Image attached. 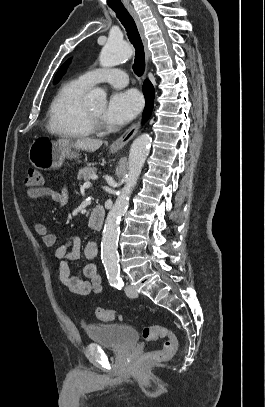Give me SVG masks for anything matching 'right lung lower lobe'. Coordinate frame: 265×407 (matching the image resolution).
I'll use <instances>...</instances> for the list:
<instances>
[{
	"mask_svg": "<svg viewBox=\"0 0 265 407\" xmlns=\"http://www.w3.org/2000/svg\"><path fill=\"white\" fill-rule=\"evenodd\" d=\"M143 93L146 99V106L143 112V122H145L151 115L154 102V88L149 80H145L144 82Z\"/></svg>",
	"mask_w": 265,
	"mask_h": 407,
	"instance_id": "1",
	"label": "right lung lower lobe"
}]
</instances>
